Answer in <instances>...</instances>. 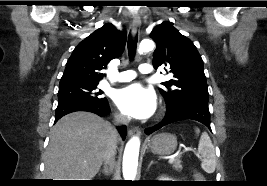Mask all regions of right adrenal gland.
<instances>
[{
	"label": "right adrenal gland",
	"instance_id": "1",
	"mask_svg": "<svg viewBox=\"0 0 267 186\" xmlns=\"http://www.w3.org/2000/svg\"><path fill=\"white\" fill-rule=\"evenodd\" d=\"M111 172H112V167L111 166L109 168L108 167H104V169L102 170V173L104 175H109Z\"/></svg>",
	"mask_w": 267,
	"mask_h": 186
}]
</instances>
